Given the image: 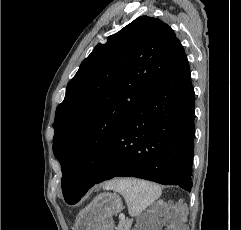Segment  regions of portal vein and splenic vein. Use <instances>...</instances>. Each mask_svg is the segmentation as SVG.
<instances>
[{
	"mask_svg": "<svg viewBox=\"0 0 241 230\" xmlns=\"http://www.w3.org/2000/svg\"><path fill=\"white\" fill-rule=\"evenodd\" d=\"M119 218H120V221H124V220H125V216H124L123 214H121V215L119 216Z\"/></svg>",
	"mask_w": 241,
	"mask_h": 230,
	"instance_id": "obj_1",
	"label": "portal vein and splenic vein"
}]
</instances>
